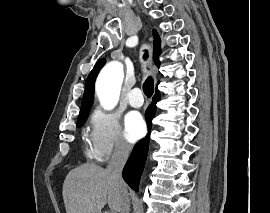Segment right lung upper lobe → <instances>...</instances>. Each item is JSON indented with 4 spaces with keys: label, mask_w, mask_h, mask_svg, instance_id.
Masks as SVG:
<instances>
[{
    "label": "right lung upper lobe",
    "mask_w": 270,
    "mask_h": 213,
    "mask_svg": "<svg viewBox=\"0 0 270 213\" xmlns=\"http://www.w3.org/2000/svg\"><path fill=\"white\" fill-rule=\"evenodd\" d=\"M153 36H154V43H153L154 62L156 64V66L159 67L160 62H159L158 56L161 53V41H160V38L155 30L153 31ZM104 64H105L104 59L99 60L95 64L93 70L90 72V74L86 80L85 92L83 95L81 110H80L79 114H85V113L89 112V110L92 106V103H93V99H94V82H95V79L97 77L98 72L104 66Z\"/></svg>",
    "instance_id": "right-lung-upper-lobe-1"
}]
</instances>
